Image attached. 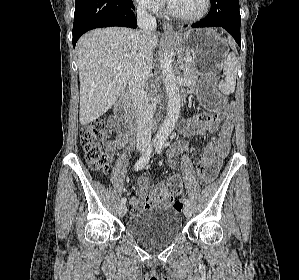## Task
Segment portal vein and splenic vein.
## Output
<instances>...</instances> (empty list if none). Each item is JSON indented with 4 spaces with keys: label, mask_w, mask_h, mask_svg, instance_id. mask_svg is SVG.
<instances>
[{
    "label": "portal vein and splenic vein",
    "mask_w": 299,
    "mask_h": 280,
    "mask_svg": "<svg viewBox=\"0 0 299 280\" xmlns=\"http://www.w3.org/2000/svg\"><path fill=\"white\" fill-rule=\"evenodd\" d=\"M192 59H191V57H185L184 58V61L185 62H188V61H191ZM122 73V71H119V74H121Z\"/></svg>",
    "instance_id": "18ae733b"
}]
</instances>
